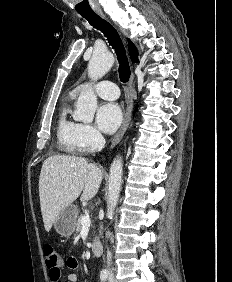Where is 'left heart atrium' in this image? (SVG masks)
Here are the masks:
<instances>
[{"mask_svg":"<svg viewBox=\"0 0 232 282\" xmlns=\"http://www.w3.org/2000/svg\"><path fill=\"white\" fill-rule=\"evenodd\" d=\"M99 128L106 133H113L122 122V111L117 103L102 104L96 114Z\"/></svg>","mask_w":232,"mask_h":282,"instance_id":"1","label":"left heart atrium"}]
</instances>
